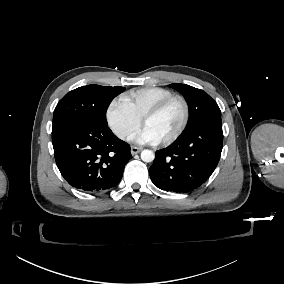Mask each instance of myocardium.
Returning <instances> with one entry per match:
<instances>
[{
	"instance_id": "obj_1",
	"label": "myocardium",
	"mask_w": 284,
	"mask_h": 284,
	"mask_svg": "<svg viewBox=\"0 0 284 284\" xmlns=\"http://www.w3.org/2000/svg\"><path fill=\"white\" fill-rule=\"evenodd\" d=\"M175 101H180L183 105V116L182 120L176 129V131L171 134L168 138L164 139L163 141L159 142V145L161 146H167L174 142L185 130L188 121H189V116H190V108L187 100L181 96V95H172L165 100L161 101L158 103L156 106L152 107L150 110H148L142 117L141 123L144 120L154 118L161 114L167 107H169L173 102Z\"/></svg>"
}]
</instances>
